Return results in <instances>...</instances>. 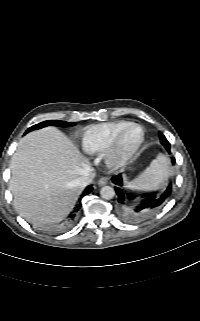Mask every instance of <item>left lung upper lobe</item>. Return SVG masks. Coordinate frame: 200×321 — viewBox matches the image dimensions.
Instances as JSON below:
<instances>
[{
	"label": "left lung upper lobe",
	"instance_id": "obj_1",
	"mask_svg": "<svg viewBox=\"0 0 200 321\" xmlns=\"http://www.w3.org/2000/svg\"><path fill=\"white\" fill-rule=\"evenodd\" d=\"M160 140H161V143L166 147L168 144V141L164 135L160 134Z\"/></svg>",
	"mask_w": 200,
	"mask_h": 321
}]
</instances>
